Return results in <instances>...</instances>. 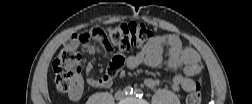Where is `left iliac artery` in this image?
I'll return each mask as SVG.
<instances>
[{"label":"left iliac artery","instance_id":"obj_1","mask_svg":"<svg viewBox=\"0 0 252 104\" xmlns=\"http://www.w3.org/2000/svg\"><path fill=\"white\" fill-rule=\"evenodd\" d=\"M134 94L136 95V97H139V98L143 97L144 95L143 91L139 88L135 89Z\"/></svg>","mask_w":252,"mask_h":104}]
</instances>
